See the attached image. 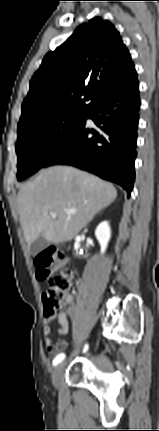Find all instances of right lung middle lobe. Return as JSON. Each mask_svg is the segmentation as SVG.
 I'll return each instance as SVG.
<instances>
[{
  "instance_id": "right-lung-middle-lobe-1",
  "label": "right lung middle lobe",
  "mask_w": 159,
  "mask_h": 431,
  "mask_svg": "<svg viewBox=\"0 0 159 431\" xmlns=\"http://www.w3.org/2000/svg\"><path fill=\"white\" fill-rule=\"evenodd\" d=\"M87 112H61L18 130V180H23L44 166L47 158L85 120Z\"/></svg>"
}]
</instances>
